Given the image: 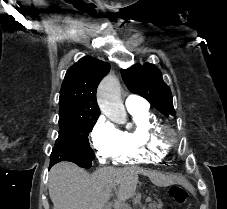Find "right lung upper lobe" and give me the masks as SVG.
<instances>
[{
  "label": "right lung upper lobe",
  "mask_w": 227,
  "mask_h": 209,
  "mask_svg": "<svg viewBox=\"0 0 227 209\" xmlns=\"http://www.w3.org/2000/svg\"><path fill=\"white\" fill-rule=\"evenodd\" d=\"M110 65L90 56L83 57L65 75L59 99V116L100 115L96 90Z\"/></svg>",
  "instance_id": "right-lung-upper-lobe-1"
}]
</instances>
